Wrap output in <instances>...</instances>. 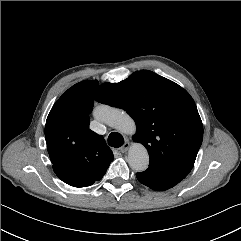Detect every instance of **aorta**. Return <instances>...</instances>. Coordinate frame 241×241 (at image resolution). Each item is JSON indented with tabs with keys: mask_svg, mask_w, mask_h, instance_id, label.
<instances>
[{
	"mask_svg": "<svg viewBox=\"0 0 241 241\" xmlns=\"http://www.w3.org/2000/svg\"><path fill=\"white\" fill-rule=\"evenodd\" d=\"M94 117L124 134L136 132L135 121L121 109L101 105L94 110ZM128 163L136 172L145 171L149 165L147 149L140 143L133 144L128 151Z\"/></svg>",
	"mask_w": 241,
	"mask_h": 241,
	"instance_id": "obj_1",
	"label": "aorta"
}]
</instances>
